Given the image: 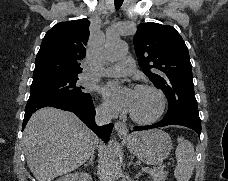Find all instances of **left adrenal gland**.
Segmentation results:
<instances>
[{
  "mask_svg": "<svg viewBox=\"0 0 228 181\" xmlns=\"http://www.w3.org/2000/svg\"><path fill=\"white\" fill-rule=\"evenodd\" d=\"M133 159H134V157H131L130 163H128L127 167H131V165H133V167H137V165H135V163H133Z\"/></svg>",
  "mask_w": 228,
  "mask_h": 181,
  "instance_id": "left-adrenal-gland-1",
  "label": "left adrenal gland"
}]
</instances>
